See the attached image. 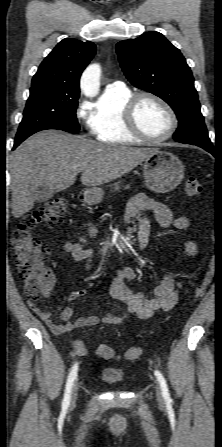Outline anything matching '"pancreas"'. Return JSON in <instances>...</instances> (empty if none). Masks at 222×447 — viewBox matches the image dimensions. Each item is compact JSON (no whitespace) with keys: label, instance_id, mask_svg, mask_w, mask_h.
<instances>
[{"label":"pancreas","instance_id":"pancreas-1","mask_svg":"<svg viewBox=\"0 0 222 447\" xmlns=\"http://www.w3.org/2000/svg\"><path fill=\"white\" fill-rule=\"evenodd\" d=\"M128 188H129V186L127 185L126 189H128ZM89 233L91 236H95V234L97 233V230L95 228H91Z\"/></svg>","mask_w":222,"mask_h":447}]
</instances>
